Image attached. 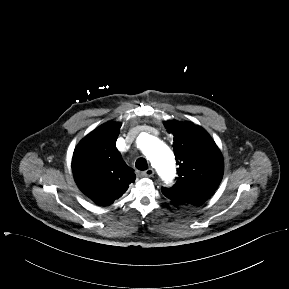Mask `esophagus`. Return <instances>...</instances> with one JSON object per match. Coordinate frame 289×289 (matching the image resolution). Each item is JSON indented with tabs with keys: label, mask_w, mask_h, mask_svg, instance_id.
<instances>
[{
	"label": "esophagus",
	"mask_w": 289,
	"mask_h": 289,
	"mask_svg": "<svg viewBox=\"0 0 289 289\" xmlns=\"http://www.w3.org/2000/svg\"><path fill=\"white\" fill-rule=\"evenodd\" d=\"M142 175L145 177H152L154 175V170L152 168H149L142 172Z\"/></svg>",
	"instance_id": "esophagus-1"
}]
</instances>
